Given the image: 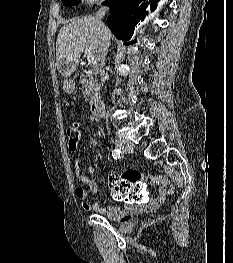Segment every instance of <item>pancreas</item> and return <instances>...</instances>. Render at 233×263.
Returning a JSON list of instances; mask_svg holds the SVG:
<instances>
[{"instance_id":"1","label":"pancreas","mask_w":233,"mask_h":263,"mask_svg":"<svg viewBox=\"0 0 233 263\" xmlns=\"http://www.w3.org/2000/svg\"><path fill=\"white\" fill-rule=\"evenodd\" d=\"M84 72L85 74L80 77V83L84 88L83 93L90 99V103H92L98 97L99 85L97 72L93 67Z\"/></svg>"}]
</instances>
